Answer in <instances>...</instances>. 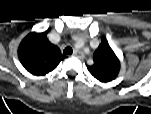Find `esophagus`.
I'll list each match as a JSON object with an SVG mask.
<instances>
[{"label":"esophagus","mask_w":151,"mask_h":114,"mask_svg":"<svg viewBox=\"0 0 151 114\" xmlns=\"http://www.w3.org/2000/svg\"><path fill=\"white\" fill-rule=\"evenodd\" d=\"M73 56H75V57H77V58H79V59H83V58H84L83 52H81V51H79V50H75V51L73 52Z\"/></svg>","instance_id":"obj_1"}]
</instances>
